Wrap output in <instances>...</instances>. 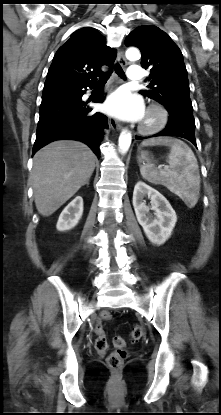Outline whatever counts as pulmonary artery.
<instances>
[{"label": "pulmonary artery", "mask_w": 221, "mask_h": 415, "mask_svg": "<svg viewBox=\"0 0 221 415\" xmlns=\"http://www.w3.org/2000/svg\"><path fill=\"white\" fill-rule=\"evenodd\" d=\"M127 77L131 81H139L143 78V70L138 65H131L127 70Z\"/></svg>", "instance_id": "1"}]
</instances>
